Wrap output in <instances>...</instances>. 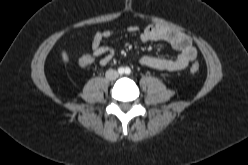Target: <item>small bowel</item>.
Returning <instances> with one entry per match:
<instances>
[{
	"label": "small bowel",
	"mask_w": 248,
	"mask_h": 165,
	"mask_svg": "<svg viewBox=\"0 0 248 165\" xmlns=\"http://www.w3.org/2000/svg\"><path fill=\"white\" fill-rule=\"evenodd\" d=\"M137 26H129L125 32L128 34L137 33ZM116 33L113 29H106L94 34L91 41V56L99 58V64L105 66L109 64L115 51L112 47L103 45L102 42ZM140 40L143 42L163 41L168 43L173 49L178 51L174 58L156 57L144 55L139 58L142 67L165 72H177L186 69L197 57V50L191 38L181 32L169 27L151 24L145 27L140 33Z\"/></svg>",
	"instance_id": "small-bowel-1"
}]
</instances>
